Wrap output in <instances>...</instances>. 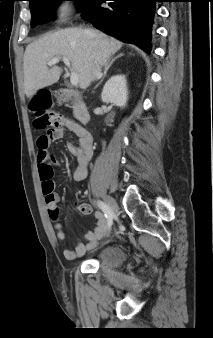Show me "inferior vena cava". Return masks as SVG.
Masks as SVG:
<instances>
[{
	"mask_svg": "<svg viewBox=\"0 0 213 338\" xmlns=\"http://www.w3.org/2000/svg\"><path fill=\"white\" fill-rule=\"evenodd\" d=\"M103 62L101 61L100 57H97L94 67V80L99 79L101 77V66Z\"/></svg>",
	"mask_w": 213,
	"mask_h": 338,
	"instance_id": "1",
	"label": "inferior vena cava"
}]
</instances>
